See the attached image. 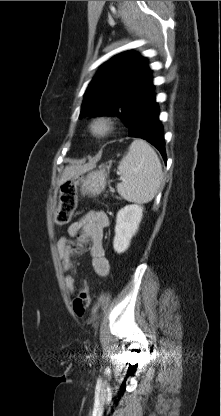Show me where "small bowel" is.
I'll return each mask as SVG.
<instances>
[{"mask_svg": "<svg viewBox=\"0 0 221 416\" xmlns=\"http://www.w3.org/2000/svg\"><path fill=\"white\" fill-rule=\"evenodd\" d=\"M109 225V217L105 212L93 211L72 222L67 228V235L74 237L80 234L82 245L90 243L89 254L93 270L99 276H107L109 273V261L103 247L104 230ZM68 238L62 237L58 242V253L65 270L68 269L71 257V249L68 246ZM65 284L69 292L74 291V279L66 277Z\"/></svg>", "mask_w": 221, "mask_h": 416, "instance_id": "obj_1", "label": "small bowel"}]
</instances>
